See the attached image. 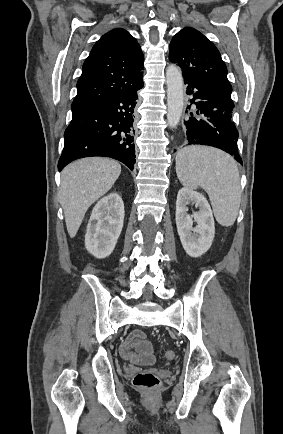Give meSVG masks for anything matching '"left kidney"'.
Returning <instances> with one entry per match:
<instances>
[{"label": "left kidney", "mask_w": 283, "mask_h": 434, "mask_svg": "<svg viewBox=\"0 0 283 434\" xmlns=\"http://www.w3.org/2000/svg\"><path fill=\"white\" fill-rule=\"evenodd\" d=\"M190 203L199 208L193 215L187 213ZM193 219L196 227H193ZM175 220L182 246L189 256L200 257L210 249L215 236V223L211 207L201 193L189 188L179 190Z\"/></svg>", "instance_id": "1"}]
</instances>
